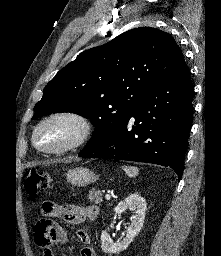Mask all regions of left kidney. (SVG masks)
I'll return each mask as SVG.
<instances>
[{"label": "left kidney", "instance_id": "left-kidney-1", "mask_svg": "<svg viewBox=\"0 0 221 256\" xmlns=\"http://www.w3.org/2000/svg\"><path fill=\"white\" fill-rule=\"evenodd\" d=\"M134 211L131 216V224L127 228L126 236L122 241L114 243L107 231L101 234V248L105 253H120L127 249L129 244L133 241L134 237L141 230L146 211V202L143 197L138 193L130 194L127 198L121 201L114 209L115 214H121L126 209Z\"/></svg>", "mask_w": 221, "mask_h": 256}]
</instances>
